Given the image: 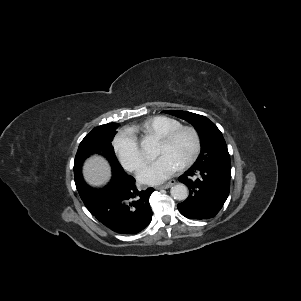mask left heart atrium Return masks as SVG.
Returning <instances> with one entry per match:
<instances>
[{
  "label": "left heart atrium",
  "instance_id": "39dd6f15",
  "mask_svg": "<svg viewBox=\"0 0 301 301\" xmlns=\"http://www.w3.org/2000/svg\"><path fill=\"white\" fill-rule=\"evenodd\" d=\"M181 164L164 154L147 164L140 172L139 178L145 183L156 184L173 175Z\"/></svg>",
  "mask_w": 301,
  "mask_h": 301
}]
</instances>
